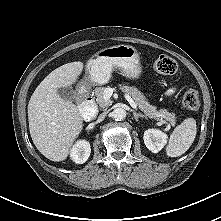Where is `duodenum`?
Listing matches in <instances>:
<instances>
[{"label":"duodenum","mask_w":221,"mask_h":221,"mask_svg":"<svg viewBox=\"0 0 221 221\" xmlns=\"http://www.w3.org/2000/svg\"><path fill=\"white\" fill-rule=\"evenodd\" d=\"M81 113L84 118L89 119L97 115V107L93 98L85 95L81 104Z\"/></svg>","instance_id":"obj_1"}]
</instances>
